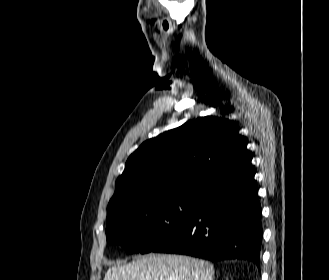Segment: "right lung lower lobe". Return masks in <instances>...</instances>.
Here are the masks:
<instances>
[{"mask_svg": "<svg viewBox=\"0 0 329 280\" xmlns=\"http://www.w3.org/2000/svg\"><path fill=\"white\" fill-rule=\"evenodd\" d=\"M255 173L250 160L213 182L187 222L152 252L247 259L260 267L262 224Z\"/></svg>", "mask_w": 329, "mask_h": 280, "instance_id": "obj_1", "label": "right lung lower lobe"}]
</instances>
